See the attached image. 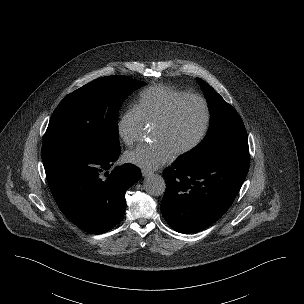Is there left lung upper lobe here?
Instances as JSON below:
<instances>
[{"label":"left lung upper lobe","instance_id":"1","mask_svg":"<svg viewBox=\"0 0 304 304\" xmlns=\"http://www.w3.org/2000/svg\"><path fill=\"white\" fill-rule=\"evenodd\" d=\"M197 81L209 105L210 128L203 141L180 160L197 166L223 155L249 156L246 129L237 111L206 82Z\"/></svg>","mask_w":304,"mask_h":304}]
</instances>
